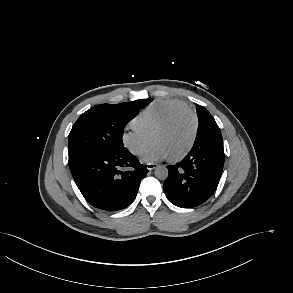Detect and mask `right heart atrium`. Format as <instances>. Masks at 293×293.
I'll use <instances>...</instances> for the list:
<instances>
[{"label": "right heart atrium", "mask_w": 293, "mask_h": 293, "mask_svg": "<svg viewBox=\"0 0 293 293\" xmlns=\"http://www.w3.org/2000/svg\"><path fill=\"white\" fill-rule=\"evenodd\" d=\"M121 140L125 148L133 155H141L150 143V136L136 128L125 129Z\"/></svg>", "instance_id": "d8ad5b80"}]
</instances>
